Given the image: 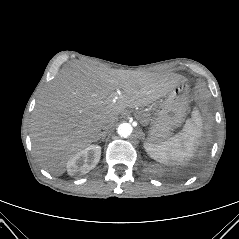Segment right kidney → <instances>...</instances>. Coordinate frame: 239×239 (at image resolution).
<instances>
[{"label": "right kidney", "mask_w": 239, "mask_h": 239, "mask_svg": "<svg viewBox=\"0 0 239 239\" xmlns=\"http://www.w3.org/2000/svg\"><path fill=\"white\" fill-rule=\"evenodd\" d=\"M101 156V147L90 145L84 150L72 155L67 162V171L70 176L83 175L95 168Z\"/></svg>", "instance_id": "right-kidney-1"}]
</instances>
